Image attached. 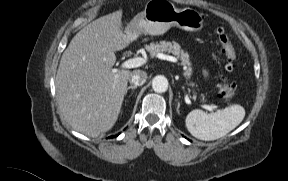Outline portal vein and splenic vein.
Segmentation results:
<instances>
[{
  "instance_id": "portal-vein-and-splenic-vein-1",
  "label": "portal vein and splenic vein",
  "mask_w": 288,
  "mask_h": 181,
  "mask_svg": "<svg viewBox=\"0 0 288 181\" xmlns=\"http://www.w3.org/2000/svg\"><path fill=\"white\" fill-rule=\"evenodd\" d=\"M157 57L162 59V60H167V61H171V62H175V58L173 56L170 55H166L163 53H158ZM147 62L146 59L142 58V57H136V58H132V59H128L125 62L122 63L121 67L123 69H131V68H137L140 67L142 65H144ZM185 101L187 104H192L191 100L189 99L188 96L185 97ZM202 108L208 110V111H213V106L210 105H201Z\"/></svg>"
}]
</instances>
